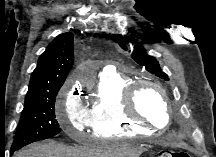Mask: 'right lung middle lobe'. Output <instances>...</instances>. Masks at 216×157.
<instances>
[{"instance_id":"dd1d6c3e","label":"right lung middle lobe","mask_w":216,"mask_h":157,"mask_svg":"<svg viewBox=\"0 0 216 157\" xmlns=\"http://www.w3.org/2000/svg\"><path fill=\"white\" fill-rule=\"evenodd\" d=\"M58 91L25 99V107L17 127L11 150H17L35 141L55 136L61 131L55 119V100Z\"/></svg>"}]
</instances>
